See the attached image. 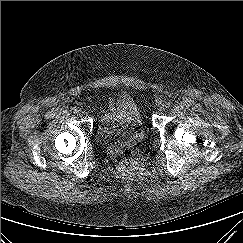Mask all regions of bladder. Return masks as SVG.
<instances>
[{
  "instance_id": "1",
  "label": "bladder",
  "mask_w": 243,
  "mask_h": 243,
  "mask_svg": "<svg viewBox=\"0 0 243 243\" xmlns=\"http://www.w3.org/2000/svg\"><path fill=\"white\" fill-rule=\"evenodd\" d=\"M145 138L139 107L127 93L117 96L113 111L104 112L96 127V140L103 146H135Z\"/></svg>"
}]
</instances>
